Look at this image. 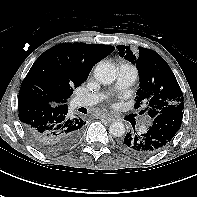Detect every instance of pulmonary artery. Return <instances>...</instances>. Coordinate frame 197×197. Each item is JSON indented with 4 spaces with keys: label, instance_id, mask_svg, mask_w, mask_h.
<instances>
[{
    "label": "pulmonary artery",
    "instance_id": "e3ab8cb5",
    "mask_svg": "<svg viewBox=\"0 0 197 197\" xmlns=\"http://www.w3.org/2000/svg\"><path fill=\"white\" fill-rule=\"evenodd\" d=\"M138 77V71L135 66L129 63H123L118 67V77L116 82L117 89H125L131 86ZM105 95L103 94H82L75 98L77 106H90L101 101ZM142 133L147 131V126L143 125L140 129Z\"/></svg>",
    "mask_w": 197,
    "mask_h": 197
}]
</instances>
